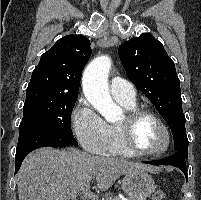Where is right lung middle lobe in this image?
<instances>
[{"label": "right lung middle lobe", "mask_w": 201, "mask_h": 200, "mask_svg": "<svg viewBox=\"0 0 201 200\" xmlns=\"http://www.w3.org/2000/svg\"><path fill=\"white\" fill-rule=\"evenodd\" d=\"M76 100V96L52 92L27 93L19 131L39 127L73 136L70 121Z\"/></svg>", "instance_id": "right-lung-middle-lobe-1"}]
</instances>
